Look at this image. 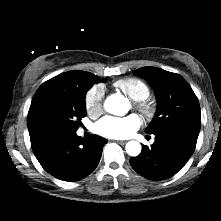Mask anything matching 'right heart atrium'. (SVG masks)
<instances>
[{
    "instance_id": "obj_1",
    "label": "right heart atrium",
    "mask_w": 221,
    "mask_h": 221,
    "mask_svg": "<svg viewBox=\"0 0 221 221\" xmlns=\"http://www.w3.org/2000/svg\"><path fill=\"white\" fill-rule=\"evenodd\" d=\"M104 90L101 85H95L85 95V108L89 115L97 116L103 109Z\"/></svg>"
}]
</instances>
